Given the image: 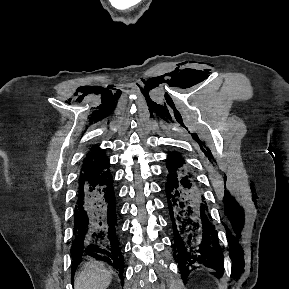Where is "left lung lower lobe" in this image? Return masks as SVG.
Here are the masks:
<instances>
[{"label": "left lung lower lobe", "instance_id": "1", "mask_svg": "<svg viewBox=\"0 0 289 289\" xmlns=\"http://www.w3.org/2000/svg\"><path fill=\"white\" fill-rule=\"evenodd\" d=\"M166 167L165 193L174 231V251L183 281L196 261L210 263L209 260L214 259L215 264L206 266L222 272L223 256L217 231L210 221L207 203L196 178L177 152L168 154Z\"/></svg>", "mask_w": 289, "mask_h": 289}]
</instances>
